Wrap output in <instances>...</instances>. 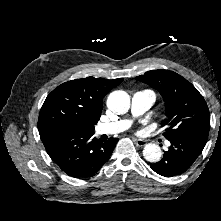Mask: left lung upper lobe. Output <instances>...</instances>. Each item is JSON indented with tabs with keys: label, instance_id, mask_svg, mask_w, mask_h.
I'll use <instances>...</instances> for the list:
<instances>
[{
	"label": "left lung upper lobe",
	"instance_id": "left-lung-upper-lobe-1",
	"mask_svg": "<svg viewBox=\"0 0 221 221\" xmlns=\"http://www.w3.org/2000/svg\"><path fill=\"white\" fill-rule=\"evenodd\" d=\"M158 90L165 101L164 137L169 139L194 132L209 133L210 114L203 96L185 78L169 70H151L136 77Z\"/></svg>",
	"mask_w": 221,
	"mask_h": 221
}]
</instances>
